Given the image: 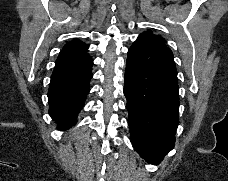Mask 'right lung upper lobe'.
I'll list each match as a JSON object with an SVG mask.
<instances>
[{
  "label": "right lung upper lobe",
  "instance_id": "cb5924a9",
  "mask_svg": "<svg viewBox=\"0 0 228 181\" xmlns=\"http://www.w3.org/2000/svg\"><path fill=\"white\" fill-rule=\"evenodd\" d=\"M88 45H86L85 43L79 41V40H73L72 42L70 43H67L63 50L61 51V53L59 54V56H63V55H66V54H69V53H72L78 49H81V48H84Z\"/></svg>",
  "mask_w": 228,
  "mask_h": 181
}]
</instances>
